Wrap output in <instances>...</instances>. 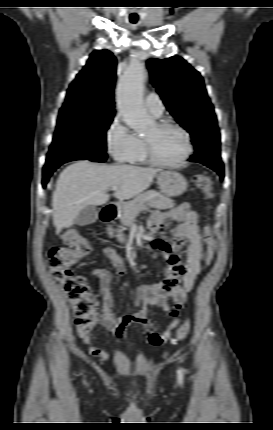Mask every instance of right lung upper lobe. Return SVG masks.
I'll return each instance as SVG.
<instances>
[{"label":"right lung upper lobe","instance_id":"1","mask_svg":"<svg viewBox=\"0 0 273 430\" xmlns=\"http://www.w3.org/2000/svg\"><path fill=\"white\" fill-rule=\"evenodd\" d=\"M116 58L108 50H95L70 84L61 109L114 113Z\"/></svg>","mask_w":273,"mask_h":430}]
</instances>
